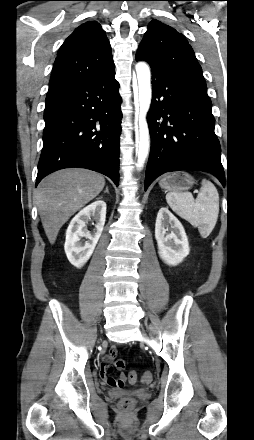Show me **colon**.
I'll return each mask as SVG.
<instances>
[{
  "mask_svg": "<svg viewBox=\"0 0 254 440\" xmlns=\"http://www.w3.org/2000/svg\"><path fill=\"white\" fill-rule=\"evenodd\" d=\"M114 366L117 370L122 371L125 368V361L123 359H116L114 362ZM128 381L131 384H135L138 381V374L135 371H131L128 375ZM141 381L145 384H148L152 381V373L146 371L143 373L141 377ZM126 382V378L124 376H120L115 380L114 384L117 387H122ZM133 405V399L130 397L124 398L121 402V406L125 410H129Z\"/></svg>",
  "mask_w": 254,
  "mask_h": 440,
  "instance_id": "1",
  "label": "colon"
}]
</instances>
